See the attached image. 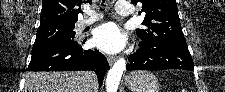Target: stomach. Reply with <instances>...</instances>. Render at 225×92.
<instances>
[{"label": "stomach", "instance_id": "0dacf381", "mask_svg": "<svg viewBox=\"0 0 225 92\" xmlns=\"http://www.w3.org/2000/svg\"><path fill=\"white\" fill-rule=\"evenodd\" d=\"M126 86L132 92H159L158 79L149 71H133L125 79Z\"/></svg>", "mask_w": 225, "mask_h": 92}]
</instances>
